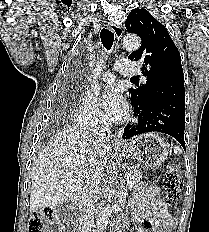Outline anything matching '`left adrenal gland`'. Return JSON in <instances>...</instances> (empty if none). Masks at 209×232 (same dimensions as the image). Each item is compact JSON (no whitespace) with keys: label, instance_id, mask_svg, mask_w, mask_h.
<instances>
[{"label":"left adrenal gland","instance_id":"1","mask_svg":"<svg viewBox=\"0 0 209 232\" xmlns=\"http://www.w3.org/2000/svg\"><path fill=\"white\" fill-rule=\"evenodd\" d=\"M120 194H121V197H120L121 200H123L127 195V189L125 188V181L124 180L122 181V184L120 186Z\"/></svg>","mask_w":209,"mask_h":232}]
</instances>
